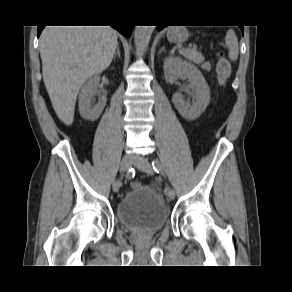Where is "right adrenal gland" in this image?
<instances>
[{
    "label": "right adrenal gland",
    "instance_id": "1",
    "mask_svg": "<svg viewBox=\"0 0 292 292\" xmlns=\"http://www.w3.org/2000/svg\"><path fill=\"white\" fill-rule=\"evenodd\" d=\"M117 56H118V58L121 57V55H120V47H119V44H117V51H116V53L114 54L113 59L115 60V58H116Z\"/></svg>",
    "mask_w": 292,
    "mask_h": 292
}]
</instances>
